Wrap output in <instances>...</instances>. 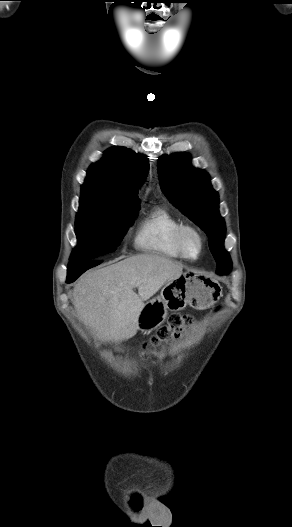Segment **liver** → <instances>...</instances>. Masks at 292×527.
Listing matches in <instances>:
<instances>
[{"mask_svg":"<svg viewBox=\"0 0 292 527\" xmlns=\"http://www.w3.org/2000/svg\"><path fill=\"white\" fill-rule=\"evenodd\" d=\"M182 273L179 262L155 254L134 255L82 276L73 289V304L79 319L102 340H128L139 329L144 301Z\"/></svg>","mask_w":292,"mask_h":527,"instance_id":"1","label":"liver"}]
</instances>
